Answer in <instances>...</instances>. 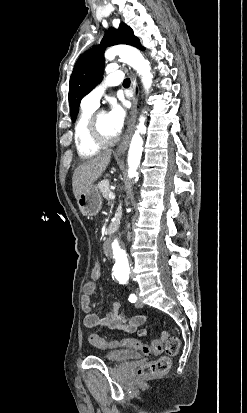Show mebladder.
I'll return each mask as SVG.
<instances>
[{
  "label": "bladder",
  "instance_id": "31cf9c89",
  "mask_svg": "<svg viewBox=\"0 0 247 413\" xmlns=\"http://www.w3.org/2000/svg\"><path fill=\"white\" fill-rule=\"evenodd\" d=\"M140 358V352L131 349H116L103 354V359L110 362L125 363L128 360Z\"/></svg>",
  "mask_w": 247,
  "mask_h": 413
}]
</instances>
